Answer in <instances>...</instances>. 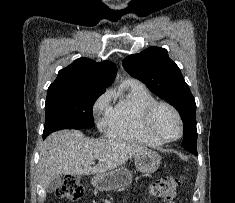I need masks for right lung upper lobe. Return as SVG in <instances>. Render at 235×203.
<instances>
[{"instance_id":"obj_1","label":"right lung upper lobe","mask_w":235,"mask_h":203,"mask_svg":"<svg viewBox=\"0 0 235 203\" xmlns=\"http://www.w3.org/2000/svg\"><path fill=\"white\" fill-rule=\"evenodd\" d=\"M117 68L110 61L95 62L79 58L58 72L49 89L64 87H88L105 90L115 78Z\"/></svg>"}]
</instances>
